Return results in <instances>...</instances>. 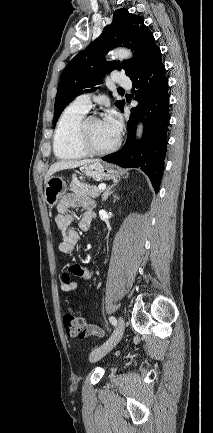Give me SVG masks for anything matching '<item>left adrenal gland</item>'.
<instances>
[{"mask_svg":"<svg viewBox=\"0 0 213 433\" xmlns=\"http://www.w3.org/2000/svg\"><path fill=\"white\" fill-rule=\"evenodd\" d=\"M114 186H115V185L109 186V187L104 191V193H103V195H102V202L106 201V200L108 199V197H109V196L114 192V191H111L112 188H113Z\"/></svg>","mask_w":213,"mask_h":433,"instance_id":"a2214340","label":"left adrenal gland"}]
</instances>
